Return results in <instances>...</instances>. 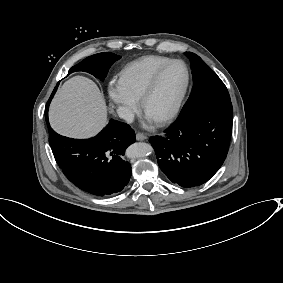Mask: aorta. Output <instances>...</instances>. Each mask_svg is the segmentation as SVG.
<instances>
[{"label":"aorta","mask_w":283,"mask_h":283,"mask_svg":"<svg viewBox=\"0 0 283 283\" xmlns=\"http://www.w3.org/2000/svg\"><path fill=\"white\" fill-rule=\"evenodd\" d=\"M153 148L150 144L137 142L129 146L126 150V155L129 158H142L150 155Z\"/></svg>","instance_id":"obj_1"}]
</instances>
